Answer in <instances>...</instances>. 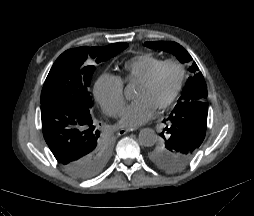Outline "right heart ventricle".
I'll list each match as a JSON object with an SVG mask.
<instances>
[{"label":"right heart ventricle","mask_w":254,"mask_h":216,"mask_svg":"<svg viewBox=\"0 0 254 216\" xmlns=\"http://www.w3.org/2000/svg\"><path fill=\"white\" fill-rule=\"evenodd\" d=\"M164 60L151 54H140L124 65L125 76L121 78L126 83H140Z\"/></svg>","instance_id":"1"}]
</instances>
